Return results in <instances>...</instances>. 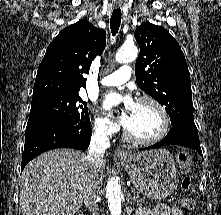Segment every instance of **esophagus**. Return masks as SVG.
Wrapping results in <instances>:
<instances>
[{
  "instance_id": "1",
  "label": "esophagus",
  "mask_w": 221,
  "mask_h": 215,
  "mask_svg": "<svg viewBox=\"0 0 221 215\" xmlns=\"http://www.w3.org/2000/svg\"><path fill=\"white\" fill-rule=\"evenodd\" d=\"M114 156H116V157H125L126 153L121 149H116L115 152H114Z\"/></svg>"
}]
</instances>
